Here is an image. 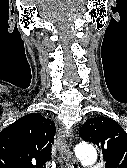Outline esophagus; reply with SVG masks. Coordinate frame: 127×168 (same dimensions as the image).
<instances>
[{"instance_id": "obj_1", "label": "esophagus", "mask_w": 127, "mask_h": 168, "mask_svg": "<svg viewBox=\"0 0 127 168\" xmlns=\"http://www.w3.org/2000/svg\"><path fill=\"white\" fill-rule=\"evenodd\" d=\"M57 145L59 153L64 159L67 168H80L76 158L69 149L66 134L64 133L63 128H61L57 134Z\"/></svg>"}]
</instances>
